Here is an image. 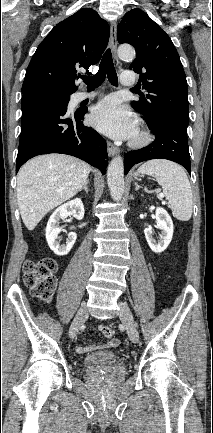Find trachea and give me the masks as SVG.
<instances>
[{
  "mask_svg": "<svg viewBox=\"0 0 213 433\" xmlns=\"http://www.w3.org/2000/svg\"><path fill=\"white\" fill-rule=\"evenodd\" d=\"M106 76L112 85L118 86V77L114 68L110 49H107L104 53L98 72L93 76L83 77L82 79L89 89H94L101 85Z\"/></svg>",
  "mask_w": 213,
  "mask_h": 433,
  "instance_id": "obj_1",
  "label": "trachea"
}]
</instances>
